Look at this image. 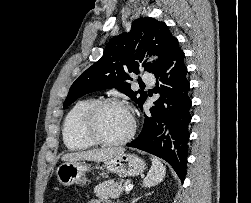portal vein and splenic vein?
I'll return each instance as SVG.
<instances>
[{
	"label": "portal vein and splenic vein",
	"mask_w": 251,
	"mask_h": 203,
	"mask_svg": "<svg viewBox=\"0 0 251 203\" xmlns=\"http://www.w3.org/2000/svg\"><path fill=\"white\" fill-rule=\"evenodd\" d=\"M132 189H133V184H128V185L125 186V191H126V192H129V191H131Z\"/></svg>",
	"instance_id": "1"
}]
</instances>
